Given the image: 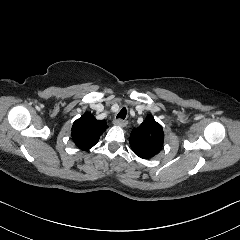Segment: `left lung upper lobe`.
I'll return each instance as SVG.
<instances>
[{"label": "left lung upper lobe", "mask_w": 240, "mask_h": 240, "mask_svg": "<svg viewBox=\"0 0 240 240\" xmlns=\"http://www.w3.org/2000/svg\"><path fill=\"white\" fill-rule=\"evenodd\" d=\"M163 141V128L152 115H147L145 121L130 134V146L140 158H150L158 154Z\"/></svg>", "instance_id": "5c2ea615"}]
</instances>
